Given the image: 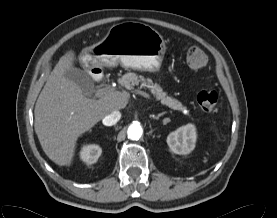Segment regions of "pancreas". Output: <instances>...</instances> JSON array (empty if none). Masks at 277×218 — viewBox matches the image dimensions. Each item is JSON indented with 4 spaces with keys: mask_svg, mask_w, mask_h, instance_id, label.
I'll return each mask as SVG.
<instances>
[{
    "mask_svg": "<svg viewBox=\"0 0 277 218\" xmlns=\"http://www.w3.org/2000/svg\"><path fill=\"white\" fill-rule=\"evenodd\" d=\"M119 84L125 86L127 89L134 90L135 86L140 84L141 87L147 88L154 95L156 100L160 101L163 105L177 111H181L188 115L187 108L177 99L168 96L166 92L160 87L159 84L153 83L151 79H145L143 76H138L135 73H126L119 80Z\"/></svg>",
    "mask_w": 277,
    "mask_h": 218,
    "instance_id": "pancreas-1",
    "label": "pancreas"
}]
</instances>
